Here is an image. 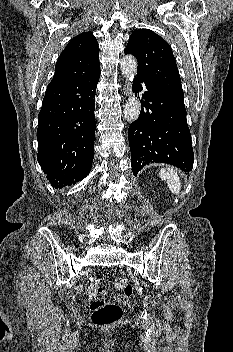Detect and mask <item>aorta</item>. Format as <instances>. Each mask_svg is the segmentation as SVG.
<instances>
[{
  "instance_id": "762f6f07",
  "label": "aorta",
  "mask_w": 233,
  "mask_h": 352,
  "mask_svg": "<svg viewBox=\"0 0 233 352\" xmlns=\"http://www.w3.org/2000/svg\"><path fill=\"white\" fill-rule=\"evenodd\" d=\"M121 72L123 76L129 81H133L136 73H137V60L132 55H126L121 60ZM141 106L138 98L130 93V96L124 107V119L132 122L135 121L140 114Z\"/></svg>"
}]
</instances>
